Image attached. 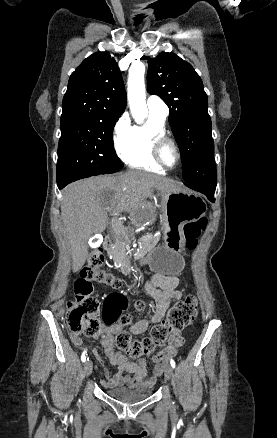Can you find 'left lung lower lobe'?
<instances>
[{
    "mask_svg": "<svg viewBox=\"0 0 277 438\" xmlns=\"http://www.w3.org/2000/svg\"><path fill=\"white\" fill-rule=\"evenodd\" d=\"M186 186L193 189V190H196L198 192L205 194L211 202L215 201L214 193H215L216 188H212V187H208V186H195V185H186Z\"/></svg>",
    "mask_w": 277,
    "mask_h": 438,
    "instance_id": "0a47b994",
    "label": "left lung lower lobe"
}]
</instances>
